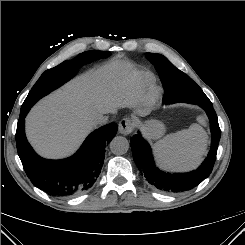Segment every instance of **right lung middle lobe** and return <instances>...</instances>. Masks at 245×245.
Listing matches in <instances>:
<instances>
[{
	"label": "right lung middle lobe",
	"mask_w": 245,
	"mask_h": 245,
	"mask_svg": "<svg viewBox=\"0 0 245 245\" xmlns=\"http://www.w3.org/2000/svg\"><path fill=\"white\" fill-rule=\"evenodd\" d=\"M110 56V52L91 50L86 51L72 60L64 61L54 68L45 71L35 85L32 87L27 98L25 99L21 111L30 110V108L43 96L49 94L51 91L57 89L62 84L70 80L84 64L89 57L103 58Z\"/></svg>",
	"instance_id": "right-lung-middle-lobe-1"
}]
</instances>
